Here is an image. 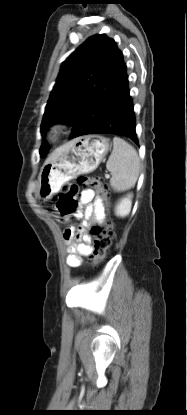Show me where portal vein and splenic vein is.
I'll return each instance as SVG.
<instances>
[{"instance_id": "1", "label": "portal vein and splenic vein", "mask_w": 187, "mask_h": 415, "mask_svg": "<svg viewBox=\"0 0 187 415\" xmlns=\"http://www.w3.org/2000/svg\"><path fill=\"white\" fill-rule=\"evenodd\" d=\"M105 178L106 179H109L110 178V175L109 174H105Z\"/></svg>"}]
</instances>
